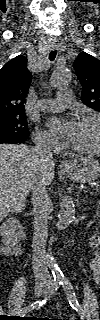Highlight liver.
Wrapping results in <instances>:
<instances>
[{
    "instance_id": "6515ba94",
    "label": "liver",
    "mask_w": 100,
    "mask_h": 320,
    "mask_svg": "<svg viewBox=\"0 0 100 320\" xmlns=\"http://www.w3.org/2000/svg\"><path fill=\"white\" fill-rule=\"evenodd\" d=\"M53 161H42L26 145H0L1 216L23 210L33 183L42 178L49 185L55 177Z\"/></svg>"
}]
</instances>
